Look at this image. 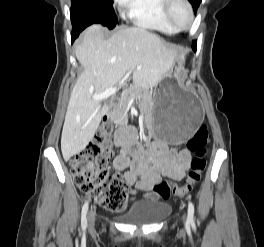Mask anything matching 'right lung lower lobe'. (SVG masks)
I'll return each mask as SVG.
<instances>
[{"mask_svg": "<svg viewBox=\"0 0 264 247\" xmlns=\"http://www.w3.org/2000/svg\"><path fill=\"white\" fill-rule=\"evenodd\" d=\"M73 25V31L71 33V39L72 41H74L75 38H77L80 34V32L84 29V27H76V25L72 24Z\"/></svg>", "mask_w": 264, "mask_h": 247, "instance_id": "obj_1", "label": "right lung lower lobe"}]
</instances>
